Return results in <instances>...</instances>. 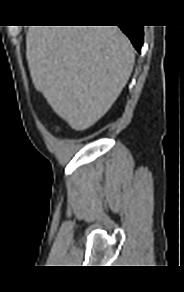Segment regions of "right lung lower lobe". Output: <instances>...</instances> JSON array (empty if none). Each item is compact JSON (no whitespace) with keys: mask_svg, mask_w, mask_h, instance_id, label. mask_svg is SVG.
<instances>
[{"mask_svg":"<svg viewBox=\"0 0 184 292\" xmlns=\"http://www.w3.org/2000/svg\"><path fill=\"white\" fill-rule=\"evenodd\" d=\"M120 28L129 37L135 49L140 52L144 36L143 27L120 26Z\"/></svg>","mask_w":184,"mask_h":292,"instance_id":"obj_1","label":"right lung lower lobe"}]
</instances>
